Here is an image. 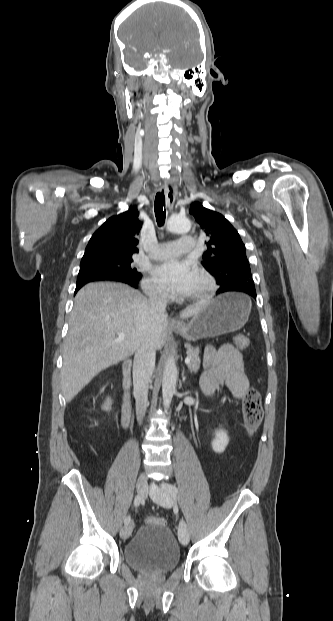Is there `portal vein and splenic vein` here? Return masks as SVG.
<instances>
[{
  "label": "portal vein and splenic vein",
  "mask_w": 333,
  "mask_h": 621,
  "mask_svg": "<svg viewBox=\"0 0 333 621\" xmlns=\"http://www.w3.org/2000/svg\"><path fill=\"white\" fill-rule=\"evenodd\" d=\"M123 339H124V334H122V333H121V334H119V335H118V340H123ZM190 362H191L190 357H186V358H185V364H189Z\"/></svg>",
  "instance_id": "18ae733b"
}]
</instances>
